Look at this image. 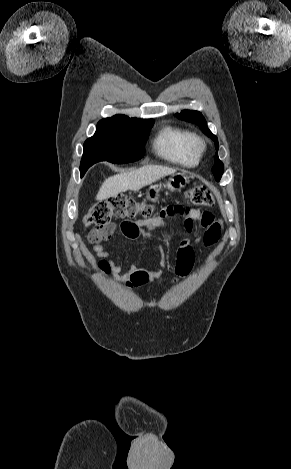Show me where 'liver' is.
I'll use <instances>...</instances> for the list:
<instances>
[{"instance_id": "1", "label": "liver", "mask_w": 291, "mask_h": 469, "mask_svg": "<svg viewBox=\"0 0 291 469\" xmlns=\"http://www.w3.org/2000/svg\"><path fill=\"white\" fill-rule=\"evenodd\" d=\"M175 172L176 170L173 168L147 165L137 170L109 177L101 185L96 200L102 201L110 197H116L120 192L127 190L138 191L161 177L174 174Z\"/></svg>"}]
</instances>
